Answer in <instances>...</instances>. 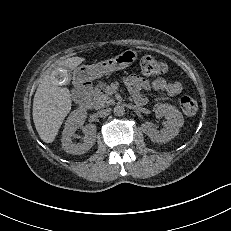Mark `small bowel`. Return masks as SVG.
I'll return each mask as SVG.
<instances>
[{
    "mask_svg": "<svg viewBox=\"0 0 231 231\" xmlns=\"http://www.w3.org/2000/svg\"><path fill=\"white\" fill-rule=\"evenodd\" d=\"M133 99L145 98L141 92L143 90L165 91L171 97H177L182 92V84L178 81H171L165 78H157L149 81L139 75L131 74L123 79ZM146 99V98H145Z\"/></svg>",
    "mask_w": 231,
    "mask_h": 231,
    "instance_id": "c3829d8e",
    "label": "small bowel"
}]
</instances>
